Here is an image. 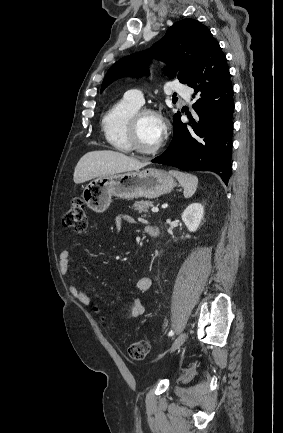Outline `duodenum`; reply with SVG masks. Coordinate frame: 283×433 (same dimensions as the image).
Returning <instances> with one entry per match:
<instances>
[{"label":"duodenum","mask_w":283,"mask_h":433,"mask_svg":"<svg viewBox=\"0 0 283 433\" xmlns=\"http://www.w3.org/2000/svg\"><path fill=\"white\" fill-rule=\"evenodd\" d=\"M147 233L153 238L157 239L160 234V230L157 226H150L147 228Z\"/></svg>","instance_id":"1"}]
</instances>
